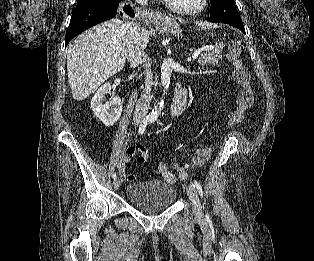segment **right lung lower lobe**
I'll return each mask as SVG.
<instances>
[{"instance_id": "obj_1", "label": "right lung lower lobe", "mask_w": 314, "mask_h": 261, "mask_svg": "<svg viewBox=\"0 0 314 261\" xmlns=\"http://www.w3.org/2000/svg\"><path fill=\"white\" fill-rule=\"evenodd\" d=\"M123 4L124 0H96L84 6L76 7L67 29L65 46L84 30L113 18L117 12L122 10ZM123 10L128 15L134 16V12L129 6H125Z\"/></svg>"}]
</instances>
